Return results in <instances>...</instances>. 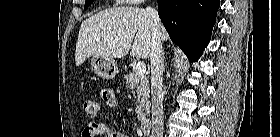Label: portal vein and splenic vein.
<instances>
[{
  "label": "portal vein and splenic vein",
  "mask_w": 280,
  "mask_h": 137,
  "mask_svg": "<svg viewBox=\"0 0 280 137\" xmlns=\"http://www.w3.org/2000/svg\"><path fill=\"white\" fill-rule=\"evenodd\" d=\"M135 72L140 75V76H143L146 72V65L144 62H141L139 61L137 64H136V67H135Z\"/></svg>",
  "instance_id": "portal-vein-and-splenic-vein-1"
}]
</instances>
